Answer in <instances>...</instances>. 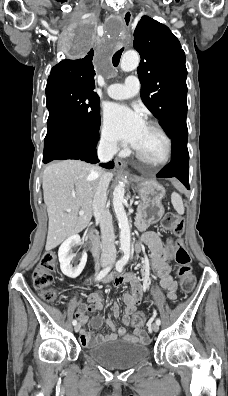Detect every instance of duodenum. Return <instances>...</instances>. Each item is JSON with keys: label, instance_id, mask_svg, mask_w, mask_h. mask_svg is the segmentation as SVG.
I'll return each mask as SVG.
<instances>
[{"label": "duodenum", "instance_id": "1", "mask_svg": "<svg viewBox=\"0 0 228 396\" xmlns=\"http://www.w3.org/2000/svg\"><path fill=\"white\" fill-rule=\"evenodd\" d=\"M89 238H90V241H91L92 246H93V253L96 255V254H98V251H99L97 233L96 232H92L90 234Z\"/></svg>", "mask_w": 228, "mask_h": 396}]
</instances>
